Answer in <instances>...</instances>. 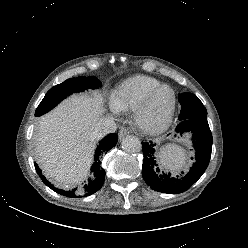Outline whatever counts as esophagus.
Segmentation results:
<instances>
[{"label":"esophagus","mask_w":248,"mask_h":248,"mask_svg":"<svg viewBox=\"0 0 248 248\" xmlns=\"http://www.w3.org/2000/svg\"><path fill=\"white\" fill-rule=\"evenodd\" d=\"M130 133L129 129L126 127H121L118 133V137L120 140L124 139Z\"/></svg>","instance_id":"1"}]
</instances>
